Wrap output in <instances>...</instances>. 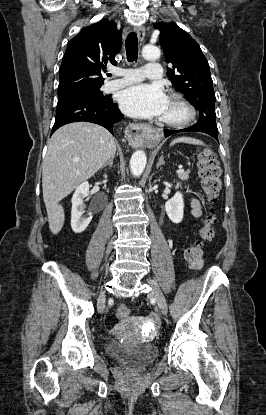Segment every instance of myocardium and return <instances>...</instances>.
<instances>
[{
  "label": "myocardium",
  "mask_w": 266,
  "mask_h": 415,
  "mask_svg": "<svg viewBox=\"0 0 266 415\" xmlns=\"http://www.w3.org/2000/svg\"><path fill=\"white\" fill-rule=\"evenodd\" d=\"M169 101L182 108L184 115L176 120L160 119V125L168 128H181L194 120L196 116L195 108L181 94L172 93Z\"/></svg>",
  "instance_id": "1"
}]
</instances>
